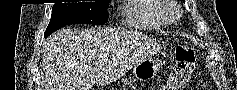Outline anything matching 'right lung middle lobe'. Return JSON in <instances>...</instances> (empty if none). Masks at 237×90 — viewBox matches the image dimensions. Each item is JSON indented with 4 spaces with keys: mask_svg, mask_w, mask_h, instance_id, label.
<instances>
[{
    "mask_svg": "<svg viewBox=\"0 0 237 90\" xmlns=\"http://www.w3.org/2000/svg\"><path fill=\"white\" fill-rule=\"evenodd\" d=\"M109 3L110 0L54 4L44 37L70 24L102 25L106 23L108 19L106 10Z\"/></svg>",
    "mask_w": 237,
    "mask_h": 90,
    "instance_id": "1",
    "label": "right lung middle lobe"
}]
</instances>
